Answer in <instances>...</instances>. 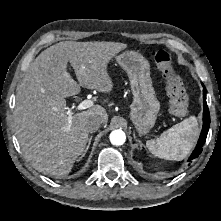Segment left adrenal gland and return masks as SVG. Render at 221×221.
Here are the masks:
<instances>
[{"mask_svg": "<svg viewBox=\"0 0 221 221\" xmlns=\"http://www.w3.org/2000/svg\"><path fill=\"white\" fill-rule=\"evenodd\" d=\"M134 139L139 143L140 147H142V146L145 147V145L140 140L136 139L135 135H134Z\"/></svg>", "mask_w": 221, "mask_h": 221, "instance_id": "1", "label": "left adrenal gland"}]
</instances>
